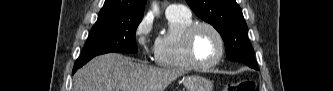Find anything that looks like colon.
<instances>
[{
	"label": "colon",
	"mask_w": 333,
	"mask_h": 91,
	"mask_svg": "<svg viewBox=\"0 0 333 91\" xmlns=\"http://www.w3.org/2000/svg\"><path fill=\"white\" fill-rule=\"evenodd\" d=\"M255 85L251 80H243L237 83H231L224 87V91H254Z\"/></svg>",
	"instance_id": "obj_1"
}]
</instances>
